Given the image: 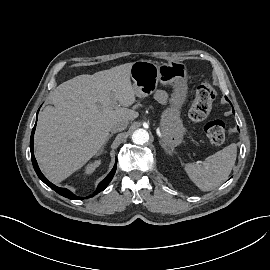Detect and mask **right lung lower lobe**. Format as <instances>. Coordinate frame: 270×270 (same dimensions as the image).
Returning a JSON list of instances; mask_svg holds the SVG:
<instances>
[{"label": "right lung lower lobe", "instance_id": "1", "mask_svg": "<svg viewBox=\"0 0 270 270\" xmlns=\"http://www.w3.org/2000/svg\"><path fill=\"white\" fill-rule=\"evenodd\" d=\"M35 128H36V124L32 130L31 133V138H30V150H31V160H32V164L33 167L38 175V177L46 184L48 185L50 188H52L54 191H56L57 193H59L60 195L72 199V200H81V199H85L83 197H78L76 195H74L72 192H70L69 190L65 189V188H60L55 186L54 184H52L51 182H49L47 180V178L41 173L37 161L34 157V153H33V145H34V132H35ZM116 171V164L114 165L112 171L107 175V177L98 185L97 190L95 191V193L93 195H96L97 193L101 192L102 190H104L107 185L110 183V181L112 180L114 174Z\"/></svg>", "mask_w": 270, "mask_h": 270}]
</instances>
